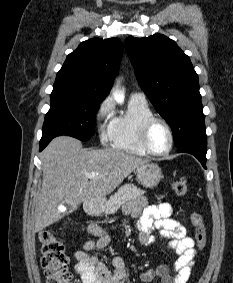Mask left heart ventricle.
<instances>
[{
  "label": "left heart ventricle",
  "instance_id": "obj_1",
  "mask_svg": "<svg viewBox=\"0 0 233 283\" xmlns=\"http://www.w3.org/2000/svg\"><path fill=\"white\" fill-rule=\"evenodd\" d=\"M169 134L167 129L159 122L154 123L148 133V143L152 150L163 152L169 146Z\"/></svg>",
  "mask_w": 233,
  "mask_h": 283
}]
</instances>
